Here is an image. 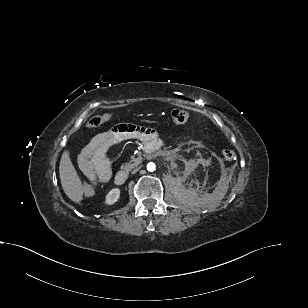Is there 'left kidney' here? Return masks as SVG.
Returning a JSON list of instances; mask_svg holds the SVG:
<instances>
[{
	"mask_svg": "<svg viewBox=\"0 0 308 308\" xmlns=\"http://www.w3.org/2000/svg\"><path fill=\"white\" fill-rule=\"evenodd\" d=\"M192 167H194V168L197 167V164H196V163H193V164H192Z\"/></svg>",
	"mask_w": 308,
	"mask_h": 308,
	"instance_id": "left-kidney-1",
	"label": "left kidney"
}]
</instances>
